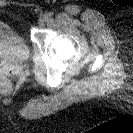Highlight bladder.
I'll use <instances>...</instances> for the list:
<instances>
[{"mask_svg":"<svg viewBox=\"0 0 133 133\" xmlns=\"http://www.w3.org/2000/svg\"><path fill=\"white\" fill-rule=\"evenodd\" d=\"M29 55L30 49L24 37L11 25L0 21V61L21 63Z\"/></svg>","mask_w":133,"mask_h":133,"instance_id":"obj_1","label":"bladder"}]
</instances>
